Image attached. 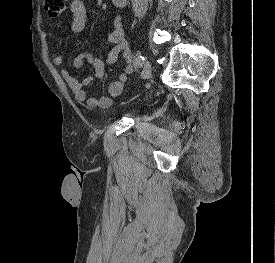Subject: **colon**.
<instances>
[{
	"mask_svg": "<svg viewBox=\"0 0 275 263\" xmlns=\"http://www.w3.org/2000/svg\"><path fill=\"white\" fill-rule=\"evenodd\" d=\"M69 0H43L46 12L52 16H59L66 11Z\"/></svg>",
	"mask_w": 275,
	"mask_h": 263,
	"instance_id": "colon-1",
	"label": "colon"
}]
</instances>
